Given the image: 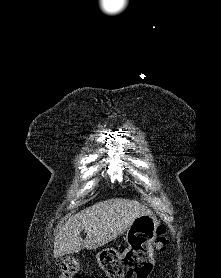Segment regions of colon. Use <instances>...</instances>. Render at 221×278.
Here are the masks:
<instances>
[{
    "instance_id": "1",
    "label": "colon",
    "mask_w": 221,
    "mask_h": 278,
    "mask_svg": "<svg viewBox=\"0 0 221 278\" xmlns=\"http://www.w3.org/2000/svg\"><path fill=\"white\" fill-rule=\"evenodd\" d=\"M155 247L159 251L163 252L167 246L166 229L160 225L156 231ZM60 278H87L86 275L82 274V267L80 263L73 258H65L59 265Z\"/></svg>"
}]
</instances>
